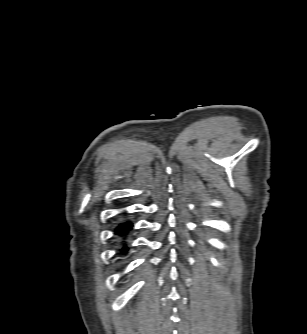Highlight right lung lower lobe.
<instances>
[{
  "instance_id": "obj_1",
  "label": "right lung lower lobe",
  "mask_w": 307,
  "mask_h": 334,
  "mask_svg": "<svg viewBox=\"0 0 307 334\" xmlns=\"http://www.w3.org/2000/svg\"><path fill=\"white\" fill-rule=\"evenodd\" d=\"M132 227L133 223L130 221L120 220L114 228L116 242L119 245V255H123L128 251L127 239Z\"/></svg>"
}]
</instances>
